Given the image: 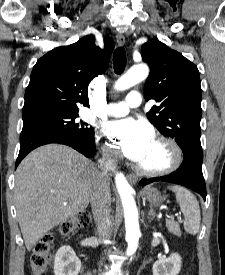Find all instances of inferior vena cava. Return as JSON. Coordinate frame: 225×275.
I'll return each instance as SVG.
<instances>
[{"instance_id": "1", "label": "inferior vena cava", "mask_w": 225, "mask_h": 275, "mask_svg": "<svg viewBox=\"0 0 225 275\" xmlns=\"http://www.w3.org/2000/svg\"><path fill=\"white\" fill-rule=\"evenodd\" d=\"M116 163V153L112 150H104L96 168V176L91 194V207L94 221L101 239L110 236L111 228V193L110 174Z\"/></svg>"}]
</instances>
